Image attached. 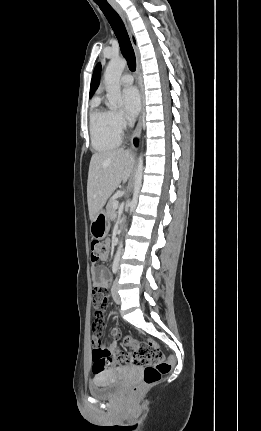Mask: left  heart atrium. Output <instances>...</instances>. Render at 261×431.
Returning a JSON list of instances; mask_svg holds the SVG:
<instances>
[{
	"label": "left heart atrium",
	"instance_id": "1",
	"mask_svg": "<svg viewBox=\"0 0 261 431\" xmlns=\"http://www.w3.org/2000/svg\"><path fill=\"white\" fill-rule=\"evenodd\" d=\"M122 105L125 116L132 120L139 112L141 100L135 87H127L122 91Z\"/></svg>",
	"mask_w": 261,
	"mask_h": 431
}]
</instances>
